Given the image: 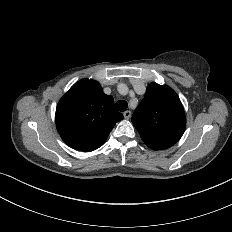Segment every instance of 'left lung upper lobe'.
I'll return each instance as SVG.
<instances>
[{
  "label": "left lung upper lobe",
  "instance_id": "5c2ea615",
  "mask_svg": "<svg viewBox=\"0 0 232 232\" xmlns=\"http://www.w3.org/2000/svg\"><path fill=\"white\" fill-rule=\"evenodd\" d=\"M132 123L149 148L163 150L182 137L186 118L176 92L166 85L151 83L132 115Z\"/></svg>",
  "mask_w": 232,
  "mask_h": 232
}]
</instances>
